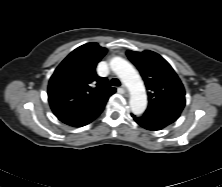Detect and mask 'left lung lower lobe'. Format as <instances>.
Wrapping results in <instances>:
<instances>
[{
  "label": "left lung lower lobe",
  "mask_w": 222,
  "mask_h": 187,
  "mask_svg": "<svg viewBox=\"0 0 222 187\" xmlns=\"http://www.w3.org/2000/svg\"><path fill=\"white\" fill-rule=\"evenodd\" d=\"M180 113L181 111L176 109L147 108L142 116L137 117L132 114V117L143 128L156 131L176 121Z\"/></svg>",
  "instance_id": "left-lung-lower-lobe-1"
}]
</instances>
